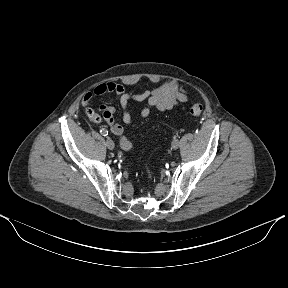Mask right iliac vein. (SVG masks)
<instances>
[{
    "label": "right iliac vein",
    "mask_w": 288,
    "mask_h": 288,
    "mask_svg": "<svg viewBox=\"0 0 288 288\" xmlns=\"http://www.w3.org/2000/svg\"><path fill=\"white\" fill-rule=\"evenodd\" d=\"M106 146L108 147V149L113 150L115 147V144H114L112 139L107 138L106 139Z\"/></svg>",
    "instance_id": "obj_1"
}]
</instances>
